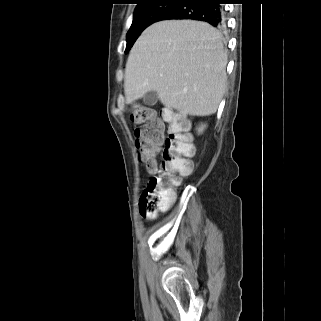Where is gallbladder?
<instances>
[{"label": "gallbladder", "mask_w": 321, "mask_h": 321, "mask_svg": "<svg viewBox=\"0 0 321 321\" xmlns=\"http://www.w3.org/2000/svg\"><path fill=\"white\" fill-rule=\"evenodd\" d=\"M158 99L159 97L156 91H149L143 97L144 103L148 106L155 105L158 102Z\"/></svg>", "instance_id": "obj_1"}]
</instances>
